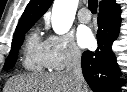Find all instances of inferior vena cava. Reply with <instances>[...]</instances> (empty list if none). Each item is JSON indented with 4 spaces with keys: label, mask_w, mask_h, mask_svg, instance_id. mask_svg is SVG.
<instances>
[{
    "label": "inferior vena cava",
    "mask_w": 127,
    "mask_h": 92,
    "mask_svg": "<svg viewBox=\"0 0 127 92\" xmlns=\"http://www.w3.org/2000/svg\"><path fill=\"white\" fill-rule=\"evenodd\" d=\"M66 73L74 81L76 91L82 92V85L85 82L81 69V53L76 48H72L70 51Z\"/></svg>",
    "instance_id": "inferior-vena-cava-1"
}]
</instances>
